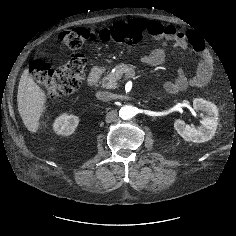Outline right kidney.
<instances>
[{
  "mask_svg": "<svg viewBox=\"0 0 236 236\" xmlns=\"http://www.w3.org/2000/svg\"><path fill=\"white\" fill-rule=\"evenodd\" d=\"M79 123V118L74 115L62 114L53 123V130L59 135L72 134Z\"/></svg>",
  "mask_w": 236,
  "mask_h": 236,
  "instance_id": "ca27d5eb",
  "label": "right kidney"
}]
</instances>
